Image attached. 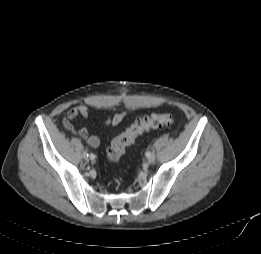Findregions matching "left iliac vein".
<instances>
[{"mask_svg":"<svg viewBox=\"0 0 261 254\" xmlns=\"http://www.w3.org/2000/svg\"><path fill=\"white\" fill-rule=\"evenodd\" d=\"M155 162V156L152 154L150 157H148V163L153 164Z\"/></svg>","mask_w":261,"mask_h":254,"instance_id":"left-iliac-vein-1","label":"left iliac vein"}]
</instances>
